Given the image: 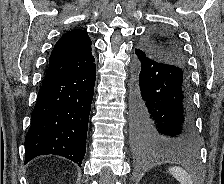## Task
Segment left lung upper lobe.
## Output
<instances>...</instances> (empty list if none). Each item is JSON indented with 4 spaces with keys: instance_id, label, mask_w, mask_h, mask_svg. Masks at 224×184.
Here are the masks:
<instances>
[{
    "instance_id": "5c2ea615",
    "label": "left lung upper lobe",
    "mask_w": 224,
    "mask_h": 184,
    "mask_svg": "<svg viewBox=\"0 0 224 184\" xmlns=\"http://www.w3.org/2000/svg\"><path fill=\"white\" fill-rule=\"evenodd\" d=\"M140 50L148 57L185 69V57L176 38L166 31H153L141 42Z\"/></svg>"
}]
</instances>
